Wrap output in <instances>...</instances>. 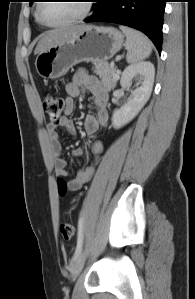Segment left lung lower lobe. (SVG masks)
I'll use <instances>...</instances> for the list:
<instances>
[{"label": "left lung lower lobe", "mask_w": 195, "mask_h": 299, "mask_svg": "<svg viewBox=\"0 0 195 299\" xmlns=\"http://www.w3.org/2000/svg\"><path fill=\"white\" fill-rule=\"evenodd\" d=\"M94 13L85 22H112L146 34L162 49V26L166 0H96Z\"/></svg>", "instance_id": "obj_1"}]
</instances>
